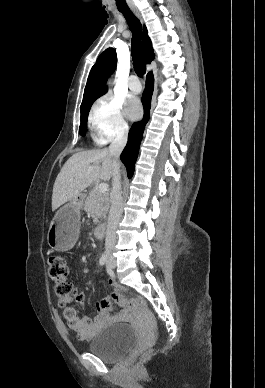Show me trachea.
<instances>
[{"mask_svg":"<svg viewBox=\"0 0 265 388\" xmlns=\"http://www.w3.org/2000/svg\"><path fill=\"white\" fill-rule=\"evenodd\" d=\"M121 12L132 32V60L137 75L142 76L146 72L145 55L143 45L141 43V24L138 18L132 13L131 10H119Z\"/></svg>","mask_w":265,"mask_h":388,"instance_id":"trachea-1","label":"trachea"}]
</instances>
